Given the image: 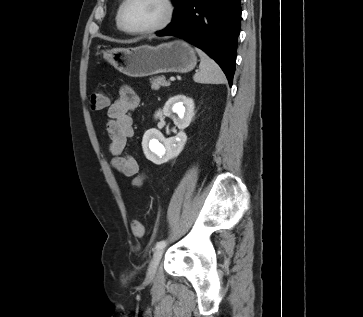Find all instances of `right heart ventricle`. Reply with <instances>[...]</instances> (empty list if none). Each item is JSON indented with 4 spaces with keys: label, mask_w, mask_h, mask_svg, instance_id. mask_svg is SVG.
<instances>
[{
    "label": "right heart ventricle",
    "mask_w": 363,
    "mask_h": 317,
    "mask_svg": "<svg viewBox=\"0 0 363 317\" xmlns=\"http://www.w3.org/2000/svg\"><path fill=\"white\" fill-rule=\"evenodd\" d=\"M116 23H117V26H118L117 17H116ZM118 27H119V26H118Z\"/></svg>",
    "instance_id": "1"
}]
</instances>
